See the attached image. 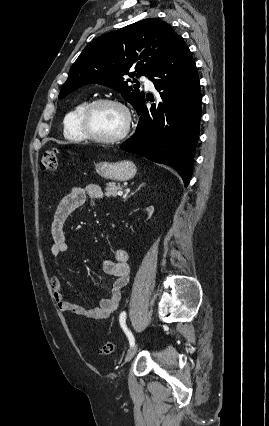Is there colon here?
Returning a JSON list of instances; mask_svg holds the SVG:
<instances>
[{
  "label": "colon",
  "instance_id": "colon-1",
  "mask_svg": "<svg viewBox=\"0 0 269 426\" xmlns=\"http://www.w3.org/2000/svg\"><path fill=\"white\" fill-rule=\"evenodd\" d=\"M58 166V151L56 149H48L41 155L40 168L44 172H54ZM114 350V343L107 341L102 344L99 351L103 355L111 354Z\"/></svg>",
  "mask_w": 269,
  "mask_h": 426
}]
</instances>
